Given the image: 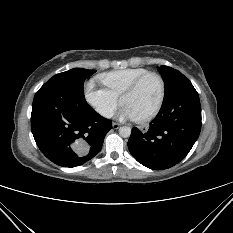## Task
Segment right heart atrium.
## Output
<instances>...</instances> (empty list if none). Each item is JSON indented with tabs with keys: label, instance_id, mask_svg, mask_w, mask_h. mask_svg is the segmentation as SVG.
<instances>
[{
	"label": "right heart atrium",
	"instance_id": "d8ad5b80",
	"mask_svg": "<svg viewBox=\"0 0 233 233\" xmlns=\"http://www.w3.org/2000/svg\"><path fill=\"white\" fill-rule=\"evenodd\" d=\"M87 103L102 117L108 118L118 104V97L107 88L98 87L93 80L84 86Z\"/></svg>",
	"mask_w": 233,
	"mask_h": 233
}]
</instances>
